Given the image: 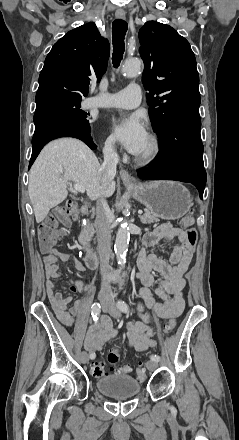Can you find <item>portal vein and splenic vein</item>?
Here are the masks:
<instances>
[{
	"instance_id": "18ae733b",
	"label": "portal vein and splenic vein",
	"mask_w": 239,
	"mask_h": 440,
	"mask_svg": "<svg viewBox=\"0 0 239 440\" xmlns=\"http://www.w3.org/2000/svg\"><path fill=\"white\" fill-rule=\"evenodd\" d=\"M74 190H77V192H82V194H84V192H86L85 188H83V186H79V184H74ZM139 215H142V209H139L138 212Z\"/></svg>"
}]
</instances>
